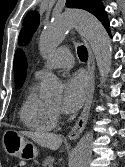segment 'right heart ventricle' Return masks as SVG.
I'll return each instance as SVG.
<instances>
[{
    "label": "right heart ventricle",
    "mask_w": 125,
    "mask_h": 167,
    "mask_svg": "<svg viewBox=\"0 0 125 167\" xmlns=\"http://www.w3.org/2000/svg\"><path fill=\"white\" fill-rule=\"evenodd\" d=\"M19 118L22 124L36 132H50L56 127V115L49 108L48 103L43 101L32 85L21 104Z\"/></svg>",
    "instance_id": "1"
}]
</instances>
